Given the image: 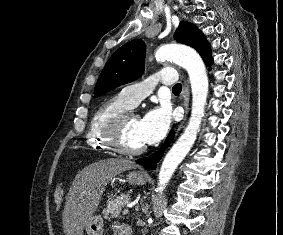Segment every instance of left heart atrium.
Listing matches in <instances>:
<instances>
[{"label": "left heart atrium", "mask_w": 283, "mask_h": 235, "mask_svg": "<svg viewBox=\"0 0 283 235\" xmlns=\"http://www.w3.org/2000/svg\"><path fill=\"white\" fill-rule=\"evenodd\" d=\"M171 116L167 106L151 109L139 120V132L144 144L160 141L167 133Z\"/></svg>", "instance_id": "left-heart-atrium-1"}]
</instances>
